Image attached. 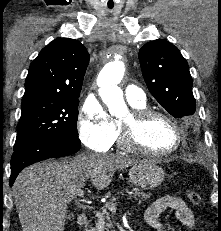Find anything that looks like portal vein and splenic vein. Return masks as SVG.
Instances as JSON below:
<instances>
[{
  "label": "portal vein and splenic vein",
  "mask_w": 221,
  "mask_h": 231,
  "mask_svg": "<svg viewBox=\"0 0 221 231\" xmlns=\"http://www.w3.org/2000/svg\"><path fill=\"white\" fill-rule=\"evenodd\" d=\"M83 195H84V191L82 189L78 190L77 196L78 197H83ZM119 203H120L119 201L118 202H111V203L108 204V207H109L110 210H113V209L116 208L117 204H119Z\"/></svg>",
  "instance_id": "18ae733b"
}]
</instances>
